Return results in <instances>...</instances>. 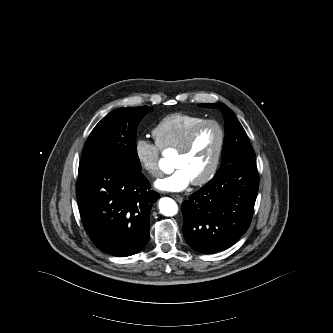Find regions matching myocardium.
Masks as SVG:
<instances>
[{"mask_svg": "<svg viewBox=\"0 0 333 333\" xmlns=\"http://www.w3.org/2000/svg\"><path fill=\"white\" fill-rule=\"evenodd\" d=\"M208 125H213L216 127L218 134H219V142H218V147H217V151L214 157V160L210 166V168L208 169V171L201 176L200 178L192 181L193 185H203L207 182H209L217 173L218 168L220 166L221 163V159H222V155H223V150H224V145H225V131L222 127V125L213 119H207V120H203L202 122L198 123L197 125H195L190 132L187 134L186 138L184 139L183 143L176 149L178 154H187L195 141V138L197 136V134L199 133V131L208 126Z\"/></svg>", "mask_w": 333, "mask_h": 333, "instance_id": "obj_1", "label": "myocardium"}]
</instances>
